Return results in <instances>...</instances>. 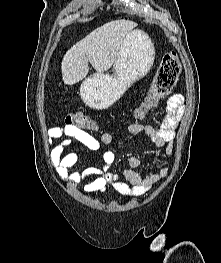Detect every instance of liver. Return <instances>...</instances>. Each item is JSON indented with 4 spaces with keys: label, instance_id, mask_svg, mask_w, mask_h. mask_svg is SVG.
<instances>
[{
    "label": "liver",
    "instance_id": "1",
    "mask_svg": "<svg viewBox=\"0 0 221 263\" xmlns=\"http://www.w3.org/2000/svg\"><path fill=\"white\" fill-rule=\"evenodd\" d=\"M136 26L137 23L125 19L110 21L74 44L61 62L64 83L73 85L84 79L89 72L88 63L99 73L110 69L124 38Z\"/></svg>",
    "mask_w": 221,
    "mask_h": 263
}]
</instances>
